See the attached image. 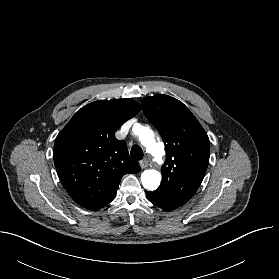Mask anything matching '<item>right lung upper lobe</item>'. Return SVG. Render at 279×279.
<instances>
[{
  "instance_id": "obj_1",
  "label": "right lung upper lobe",
  "mask_w": 279,
  "mask_h": 279,
  "mask_svg": "<svg viewBox=\"0 0 279 279\" xmlns=\"http://www.w3.org/2000/svg\"><path fill=\"white\" fill-rule=\"evenodd\" d=\"M141 110L132 99L99 100L82 107L58 134L53 157L58 177L80 206L98 210L116 196L123 175L141 170L114 133Z\"/></svg>"
}]
</instances>
